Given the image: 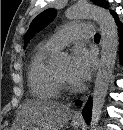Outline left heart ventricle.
Returning <instances> with one entry per match:
<instances>
[{"label":"left heart ventricle","mask_w":123,"mask_h":130,"mask_svg":"<svg viewBox=\"0 0 123 130\" xmlns=\"http://www.w3.org/2000/svg\"><path fill=\"white\" fill-rule=\"evenodd\" d=\"M57 72L61 77H63L65 80H67L69 83H71L69 79V65L67 63L57 67Z\"/></svg>","instance_id":"obj_1"}]
</instances>
